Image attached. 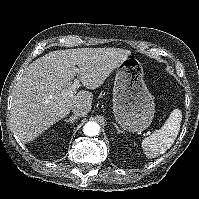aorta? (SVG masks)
<instances>
[{
	"label": "aorta",
	"instance_id": "obj_1",
	"mask_svg": "<svg viewBox=\"0 0 199 199\" xmlns=\"http://www.w3.org/2000/svg\"><path fill=\"white\" fill-rule=\"evenodd\" d=\"M99 130H100L99 125L96 122H92V121L87 122L83 127L84 134L88 136L98 135Z\"/></svg>",
	"mask_w": 199,
	"mask_h": 199
}]
</instances>
